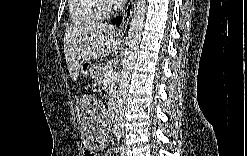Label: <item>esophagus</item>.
I'll use <instances>...</instances> for the list:
<instances>
[{
  "instance_id": "34e87169",
  "label": "esophagus",
  "mask_w": 247,
  "mask_h": 156,
  "mask_svg": "<svg viewBox=\"0 0 247 156\" xmlns=\"http://www.w3.org/2000/svg\"><path fill=\"white\" fill-rule=\"evenodd\" d=\"M134 9V0H130L123 12V19L120 25L121 31H126Z\"/></svg>"
}]
</instances>
